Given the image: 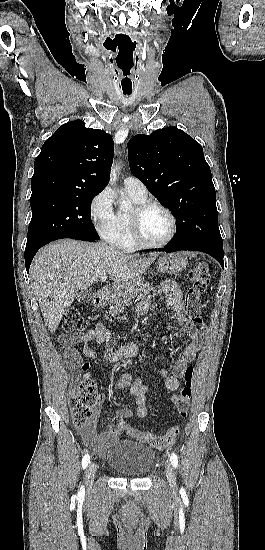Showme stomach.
Masks as SVG:
<instances>
[{
  "mask_svg": "<svg viewBox=\"0 0 265 550\" xmlns=\"http://www.w3.org/2000/svg\"><path fill=\"white\" fill-rule=\"evenodd\" d=\"M188 261L181 254H170L160 257L157 260V270L160 273L175 274L186 268ZM136 282H132L128 287H131Z\"/></svg>",
  "mask_w": 265,
  "mask_h": 550,
  "instance_id": "0dacf381",
  "label": "stomach"
}]
</instances>
